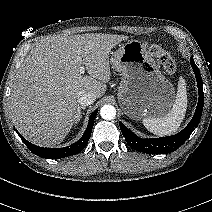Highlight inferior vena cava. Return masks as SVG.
I'll list each match as a JSON object with an SVG mask.
<instances>
[{
	"instance_id": "602c4592",
	"label": "inferior vena cava",
	"mask_w": 212,
	"mask_h": 212,
	"mask_svg": "<svg viewBox=\"0 0 212 212\" xmlns=\"http://www.w3.org/2000/svg\"><path fill=\"white\" fill-rule=\"evenodd\" d=\"M96 96L93 93L81 91L77 95V102L81 106H87L94 103Z\"/></svg>"
}]
</instances>
